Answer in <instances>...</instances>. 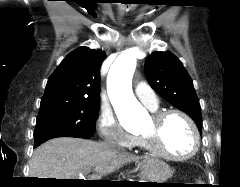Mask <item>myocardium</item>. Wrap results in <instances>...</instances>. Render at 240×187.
<instances>
[{
	"label": "myocardium",
	"mask_w": 240,
	"mask_h": 187,
	"mask_svg": "<svg viewBox=\"0 0 240 187\" xmlns=\"http://www.w3.org/2000/svg\"><path fill=\"white\" fill-rule=\"evenodd\" d=\"M170 115L180 116L188 125L193 137V146L191 150L183 155L170 154L168 152L159 150L156 147L154 143V138L152 136L141 134V140L143 142L144 148L147 152H149L150 154L158 158L172 160V161L188 160L193 156H195L200 148V134H199L198 128L194 123V121L192 120V118L187 113L179 109H167L163 111H158L152 116V118L156 123H160Z\"/></svg>",
	"instance_id": "f54148a6"
}]
</instances>
